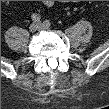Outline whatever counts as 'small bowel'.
<instances>
[{"label": "small bowel", "mask_w": 109, "mask_h": 109, "mask_svg": "<svg viewBox=\"0 0 109 109\" xmlns=\"http://www.w3.org/2000/svg\"><path fill=\"white\" fill-rule=\"evenodd\" d=\"M53 4H54L53 1H45V5H46L47 7H52Z\"/></svg>", "instance_id": "obj_1"}]
</instances>
